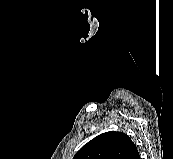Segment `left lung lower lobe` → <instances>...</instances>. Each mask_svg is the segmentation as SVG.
<instances>
[{"mask_svg":"<svg viewBox=\"0 0 173 159\" xmlns=\"http://www.w3.org/2000/svg\"><path fill=\"white\" fill-rule=\"evenodd\" d=\"M136 159H140V155H138Z\"/></svg>","mask_w":173,"mask_h":159,"instance_id":"1","label":"left lung lower lobe"}]
</instances>
